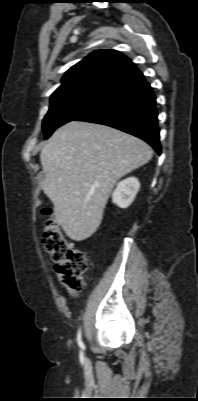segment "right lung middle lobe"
Wrapping results in <instances>:
<instances>
[{"instance_id": "obj_1", "label": "right lung middle lobe", "mask_w": 198, "mask_h": 401, "mask_svg": "<svg viewBox=\"0 0 198 401\" xmlns=\"http://www.w3.org/2000/svg\"><path fill=\"white\" fill-rule=\"evenodd\" d=\"M108 90L105 88H82L52 97L49 111L43 120L45 139L49 138L58 127L78 119L95 108Z\"/></svg>"}]
</instances>
